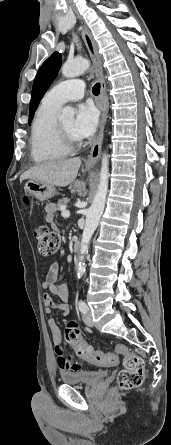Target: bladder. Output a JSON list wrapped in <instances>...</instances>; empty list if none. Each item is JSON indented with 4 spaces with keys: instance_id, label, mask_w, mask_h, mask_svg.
Segmentation results:
<instances>
[{
    "instance_id": "1",
    "label": "bladder",
    "mask_w": 171,
    "mask_h": 445,
    "mask_svg": "<svg viewBox=\"0 0 171 445\" xmlns=\"http://www.w3.org/2000/svg\"><path fill=\"white\" fill-rule=\"evenodd\" d=\"M108 375L107 370L63 371L61 379L68 385H92Z\"/></svg>"
}]
</instances>
